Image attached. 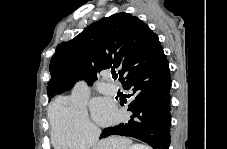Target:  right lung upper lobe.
Returning a JSON list of instances; mask_svg holds the SVG:
<instances>
[{
    "instance_id": "cb5924a9",
    "label": "right lung upper lobe",
    "mask_w": 227,
    "mask_h": 149,
    "mask_svg": "<svg viewBox=\"0 0 227 149\" xmlns=\"http://www.w3.org/2000/svg\"><path fill=\"white\" fill-rule=\"evenodd\" d=\"M164 57L158 36L139 18L117 13L92 23L70 41L56 48L50 61L49 98L70 90L84 79L89 85L104 69L119 70L123 83Z\"/></svg>"
}]
</instances>
